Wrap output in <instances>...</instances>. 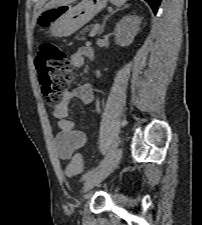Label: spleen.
<instances>
[{
  "mask_svg": "<svg viewBox=\"0 0 202 225\" xmlns=\"http://www.w3.org/2000/svg\"><path fill=\"white\" fill-rule=\"evenodd\" d=\"M111 3L117 7L122 6L127 0H110Z\"/></svg>",
  "mask_w": 202,
  "mask_h": 225,
  "instance_id": "1",
  "label": "spleen"
}]
</instances>
